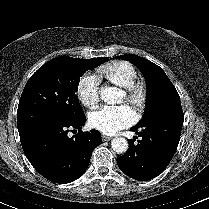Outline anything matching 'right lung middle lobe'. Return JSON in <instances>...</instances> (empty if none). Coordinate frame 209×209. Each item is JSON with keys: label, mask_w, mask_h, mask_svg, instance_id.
<instances>
[{"label": "right lung middle lobe", "mask_w": 209, "mask_h": 209, "mask_svg": "<svg viewBox=\"0 0 209 209\" xmlns=\"http://www.w3.org/2000/svg\"><path fill=\"white\" fill-rule=\"evenodd\" d=\"M107 60L61 56L41 66L26 83L19 100V133L38 124L64 122L83 115L76 95L80 77Z\"/></svg>", "instance_id": "obj_1"}]
</instances>
